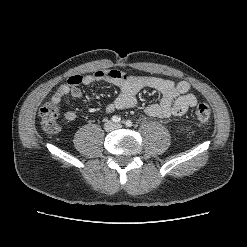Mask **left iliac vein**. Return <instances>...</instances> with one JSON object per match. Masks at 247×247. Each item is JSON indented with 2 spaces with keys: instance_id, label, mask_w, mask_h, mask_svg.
<instances>
[{
  "instance_id": "left-iliac-vein-1",
  "label": "left iliac vein",
  "mask_w": 247,
  "mask_h": 247,
  "mask_svg": "<svg viewBox=\"0 0 247 247\" xmlns=\"http://www.w3.org/2000/svg\"><path fill=\"white\" fill-rule=\"evenodd\" d=\"M121 127H122L121 124H116V125H115V128H116V129H119V128H121Z\"/></svg>"
}]
</instances>
